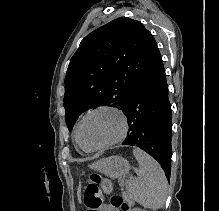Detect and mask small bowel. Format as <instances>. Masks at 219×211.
Wrapping results in <instances>:
<instances>
[{
	"label": "small bowel",
	"instance_id": "small-bowel-1",
	"mask_svg": "<svg viewBox=\"0 0 219 211\" xmlns=\"http://www.w3.org/2000/svg\"><path fill=\"white\" fill-rule=\"evenodd\" d=\"M84 201L88 211H115V209L105 203L102 195L95 189H87Z\"/></svg>",
	"mask_w": 219,
	"mask_h": 211
}]
</instances>
